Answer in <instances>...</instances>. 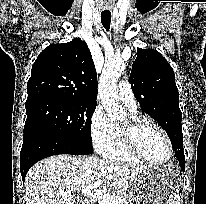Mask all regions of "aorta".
Here are the masks:
<instances>
[{"label":"aorta","instance_id":"762f6f07","mask_svg":"<svg viewBox=\"0 0 206 204\" xmlns=\"http://www.w3.org/2000/svg\"><path fill=\"white\" fill-rule=\"evenodd\" d=\"M125 68L122 59H114L105 63L99 82V96L103 107L112 120H121L126 111L120 104L116 91L117 81Z\"/></svg>","mask_w":206,"mask_h":204}]
</instances>
